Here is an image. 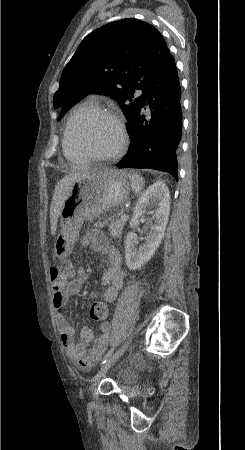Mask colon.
<instances>
[{
  "label": "colon",
  "mask_w": 245,
  "mask_h": 450,
  "mask_svg": "<svg viewBox=\"0 0 245 450\" xmlns=\"http://www.w3.org/2000/svg\"><path fill=\"white\" fill-rule=\"evenodd\" d=\"M90 317L95 321H103L108 317V307L102 301L93 302L90 307Z\"/></svg>",
  "instance_id": "5ec220e1"
}]
</instances>
